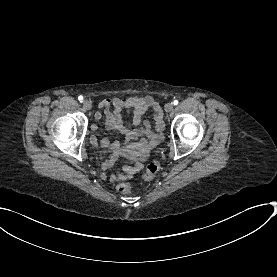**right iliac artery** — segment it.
Masks as SVG:
<instances>
[{"label":"right iliac artery","instance_id":"right-iliac-artery-1","mask_svg":"<svg viewBox=\"0 0 277 277\" xmlns=\"http://www.w3.org/2000/svg\"><path fill=\"white\" fill-rule=\"evenodd\" d=\"M78 99H79L80 102L83 101V97L82 96H79Z\"/></svg>","mask_w":277,"mask_h":277}]
</instances>
